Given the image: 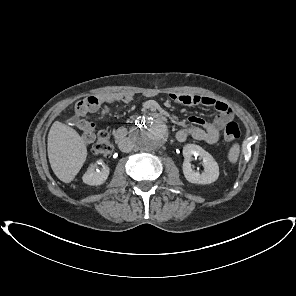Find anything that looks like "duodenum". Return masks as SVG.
Listing matches in <instances>:
<instances>
[{"label": "duodenum", "mask_w": 296, "mask_h": 296, "mask_svg": "<svg viewBox=\"0 0 296 296\" xmlns=\"http://www.w3.org/2000/svg\"><path fill=\"white\" fill-rule=\"evenodd\" d=\"M147 114H150L158 121H161V122L166 121L165 115L160 112L149 111L147 112ZM115 140L121 149H126L129 144L128 137H127V130L125 128L118 129L115 133Z\"/></svg>", "instance_id": "obj_1"}]
</instances>
